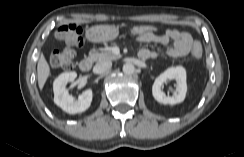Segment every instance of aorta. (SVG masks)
Listing matches in <instances>:
<instances>
[{
    "mask_svg": "<svg viewBox=\"0 0 244 157\" xmlns=\"http://www.w3.org/2000/svg\"><path fill=\"white\" fill-rule=\"evenodd\" d=\"M123 72L124 74L130 75L135 72V67L131 63H126L123 65Z\"/></svg>",
    "mask_w": 244,
    "mask_h": 157,
    "instance_id": "762f6f07",
    "label": "aorta"
}]
</instances>
